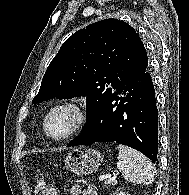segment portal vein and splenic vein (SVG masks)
<instances>
[{
  "label": "portal vein and splenic vein",
  "mask_w": 189,
  "mask_h": 195,
  "mask_svg": "<svg viewBox=\"0 0 189 195\" xmlns=\"http://www.w3.org/2000/svg\"><path fill=\"white\" fill-rule=\"evenodd\" d=\"M105 177L104 176H99V181H104Z\"/></svg>",
  "instance_id": "1"
}]
</instances>
